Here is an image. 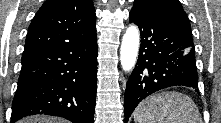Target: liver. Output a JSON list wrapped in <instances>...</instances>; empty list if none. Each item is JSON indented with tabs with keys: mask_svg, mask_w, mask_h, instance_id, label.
<instances>
[{
	"mask_svg": "<svg viewBox=\"0 0 221 123\" xmlns=\"http://www.w3.org/2000/svg\"><path fill=\"white\" fill-rule=\"evenodd\" d=\"M18 123H66V121L62 119L41 115V116H31L22 119Z\"/></svg>",
	"mask_w": 221,
	"mask_h": 123,
	"instance_id": "1",
	"label": "liver"
}]
</instances>
